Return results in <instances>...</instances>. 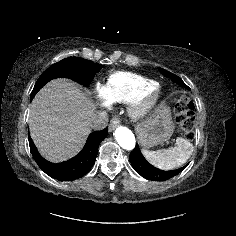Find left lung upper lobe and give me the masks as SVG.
Listing matches in <instances>:
<instances>
[{"instance_id":"1","label":"left lung upper lobe","mask_w":236,"mask_h":236,"mask_svg":"<svg viewBox=\"0 0 236 236\" xmlns=\"http://www.w3.org/2000/svg\"><path fill=\"white\" fill-rule=\"evenodd\" d=\"M159 71L166 77L170 78L173 82L185 87V88H189L183 81L181 78H179L177 75L167 71V70H164L162 68H158Z\"/></svg>"}]
</instances>
